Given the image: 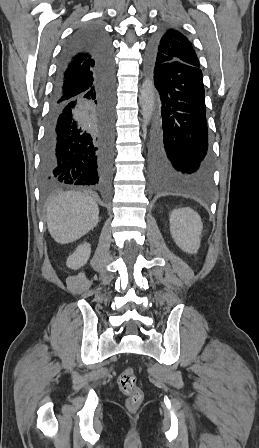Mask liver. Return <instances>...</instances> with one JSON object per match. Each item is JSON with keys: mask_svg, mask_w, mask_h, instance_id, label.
Listing matches in <instances>:
<instances>
[{"mask_svg": "<svg viewBox=\"0 0 259 448\" xmlns=\"http://www.w3.org/2000/svg\"><path fill=\"white\" fill-rule=\"evenodd\" d=\"M99 222V208L89 194L61 192L47 208L48 230L59 244L85 236Z\"/></svg>", "mask_w": 259, "mask_h": 448, "instance_id": "1", "label": "liver"}]
</instances>
